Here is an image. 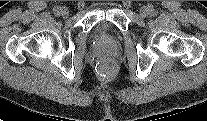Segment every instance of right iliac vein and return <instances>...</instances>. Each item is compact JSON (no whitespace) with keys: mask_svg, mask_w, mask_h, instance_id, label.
Segmentation results:
<instances>
[{"mask_svg":"<svg viewBox=\"0 0 207 121\" xmlns=\"http://www.w3.org/2000/svg\"><path fill=\"white\" fill-rule=\"evenodd\" d=\"M60 15L63 17V18H67L68 17V15H69V11H68V9L67 8H61V10H60Z\"/></svg>","mask_w":207,"mask_h":121,"instance_id":"1","label":"right iliac vein"}]
</instances>
